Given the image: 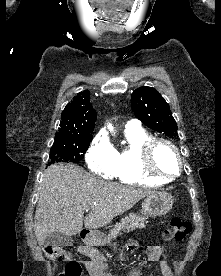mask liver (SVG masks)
<instances>
[{
	"label": "liver",
	"mask_w": 221,
	"mask_h": 276,
	"mask_svg": "<svg viewBox=\"0 0 221 276\" xmlns=\"http://www.w3.org/2000/svg\"><path fill=\"white\" fill-rule=\"evenodd\" d=\"M154 191L98 180L73 164H55L43 175L35 213L34 232L39 245L49 234H78L83 227L97 229L131 209ZM89 213L84 217V211Z\"/></svg>",
	"instance_id": "1"
}]
</instances>
